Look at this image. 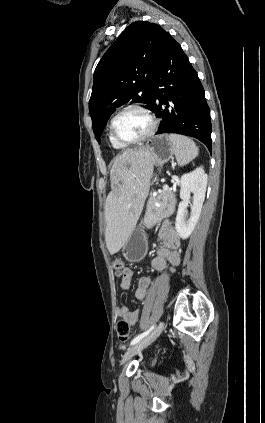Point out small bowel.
<instances>
[{
    "label": "small bowel",
    "mask_w": 265,
    "mask_h": 423,
    "mask_svg": "<svg viewBox=\"0 0 265 423\" xmlns=\"http://www.w3.org/2000/svg\"><path fill=\"white\" fill-rule=\"evenodd\" d=\"M159 238L162 247L155 257L151 260V266L156 271H165L173 268L180 262V254L178 248L180 246V238L171 222L168 219L163 220L159 230ZM132 270L124 267L122 271H116V276L121 279L122 290H128L132 280ZM150 287V279L148 277H141L138 280L135 297L139 301H144ZM116 316L125 320L129 325H136L138 323L139 312L129 311L126 307L120 306L115 310Z\"/></svg>",
    "instance_id": "obj_1"
}]
</instances>
